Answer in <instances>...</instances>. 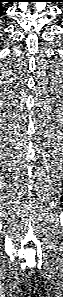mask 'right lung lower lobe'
I'll return each mask as SVG.
<instances>
[{
    "mask_svg": "<svg viewBox=\"0 0 63 297\" xmlns=\"http://www.w3.org/2000/svg\"><path fill=\"white\" fill-rule=\"evenodd\" d=\"M2 11H3V8L1 7V4H0V15L2 14Z\"/></svg>",
    "mask_w": 63,
    "mask_h": 297,
    "instance_id": "1",
    "label": "right lung lower lobe"
}]
</instances>
